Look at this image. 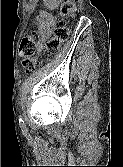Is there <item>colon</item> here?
<instances>
[{
    "label": "colon",
    "mask_w": 123,
    "mask_h": 167,
    "mask_svg": "<svg viewBox=\"0 0 123 167\" xmlns=\"http://www.w3.org/2000/svg\"><path fill=\"white\" fill-rule=\"evenodd\" d=\"M76 11V0H64L60 6V21L54 35L47 42L50 54L61 49L70 36L71 19ZM35 40L33 34L23 36L20 42L19 54L23 58L22 65L25 72H32L39 64V58L34 54Z\"/></svg>",
    "instance_id": "1"
}]
</instances>
